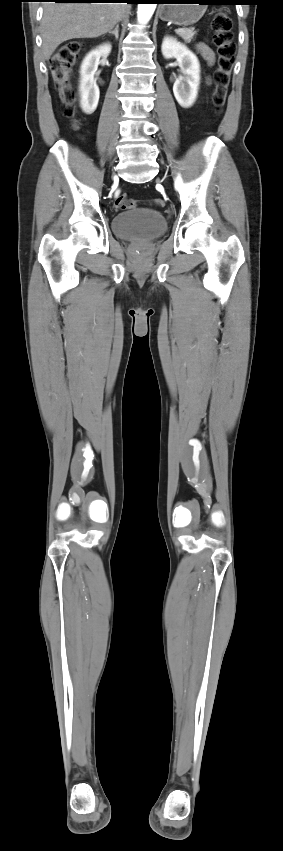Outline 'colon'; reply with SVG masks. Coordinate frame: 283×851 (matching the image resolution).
Segmentation results:
<instances>
[{
    "label": "colon",
    "instance_id": "obj_1",
    "mask_svg": "<svg viewBox=\"0 0 283 851\" xmlns=\"http://www.w3.org/2000/svg\"><path fill=\"white\" fill-rule=\"evenodd\" d=\"M211 26L214 44L218 53V68L215 74V88L212 95V102L216 110L220 111L226 102L228 94L230 76L236 57V46L233 41V23L225 10H220L214 15ZM82 50L83 44L80 41H69L58 48L48 64L52 78L57 84L65 103V113L67 116H73L74 114L72 107L74 92L69 80L72 66ZM154 203L158 207L165 205V201L162 198L155 199ZM135 205V201L130 199L125 193L121 196L118 195L115 199V207L117 209H128Z\"/></svg>",
    "mask_w": 283,
    "mask_h": 851
}]
</instances>
